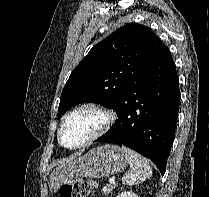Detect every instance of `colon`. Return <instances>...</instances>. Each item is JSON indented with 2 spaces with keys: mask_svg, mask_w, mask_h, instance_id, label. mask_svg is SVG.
<instances>
[{
  "mask_svg": "<svg viewBox=\"0 0 209 197\" xmlns=\"http://www.w3.org/2000/svg\"><path fill=\"white\" fill-rule=\"evenodd\" d=\"M95 186L93 180L82 178L72 183H65L59 188L60 197H88Z\"/></svg>",
  "mask_w": 209,
  "mask_h": 197,
  "instance_id": "1",
  "label": "colon"
}]
</instances>
